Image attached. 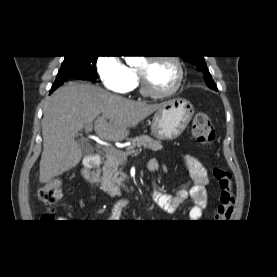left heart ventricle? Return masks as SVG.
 <instances>
[{"mask_svg": "<svg viewBox=\"0 0 277 277\" xmlns=\"http://www.w3.org/2000/svg\"><path fill=\"white\" fill-rule=\"evenodd\" d=\"M138 69L144 73L147 86L153 92L167 91L176 79L175 67L166 60L143 61Z\"/></svg>", "mask_w": 277, "mask_h": 277, "instance_id": "b2bd125f", "label": "left heart ventricle"}]
</instances>
